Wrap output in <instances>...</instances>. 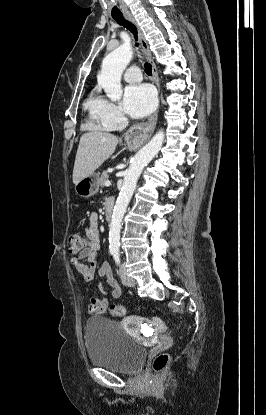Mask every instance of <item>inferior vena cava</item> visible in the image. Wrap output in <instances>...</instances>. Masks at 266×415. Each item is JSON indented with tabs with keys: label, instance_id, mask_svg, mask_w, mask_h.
<instances>
[{
	"label": "inferior vena cava",
	"instance_id": "602c4592",
	"mask_svg": "<svg viewBox=\"0 0 266 415\" xmlns=\"http://www.w3.org/2000/svg\"><path fill=\"white\" fill-rule=\"evenodd\" d=\"M128 121L125 119L122 121V123L119 125V130L124 129V127L127 125Z\"/></svg>",
	"mask_w": 266,
	"mask_h": 415
}]
</instances>
